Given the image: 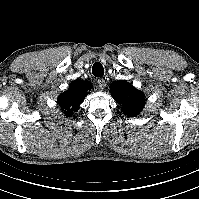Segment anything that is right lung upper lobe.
<instances>
[{
	"label": "right lung upper lobe",
	"mask_w": 199,
	"mask_h": 199,
	"mask_svg": "<svg viewBox=\"0 0 199 199\" xmlns=\"http://www.w3.org/2000/svg\"><path fill=\"white\" fill-rule=\"evenodd\" d=\"M92 89V85L88 81L75 80L70 85L66 92L59 95L57 103L66 116H71L73 112L79 109V105L84 100L85 96Z\"/></svg>",
	"instance_id": "1"
}]
</instances>
